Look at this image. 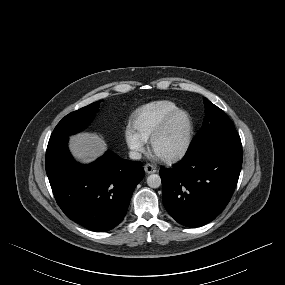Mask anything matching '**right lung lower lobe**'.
Here are the masks:
<instances>
[{
    "label": "right lung lower lobe",
    "instance_id": "obj_1",
    "mask_svg": "<svg viewBox=\"0 0 285 285\" xmlns=\"http://www.w3.org/2000/svg\"><path fill=\"white\" fill-rule=\"evenodd\" d=\"M68 136L50 138L46 173L57 204L83 227L105 232L124 218L132 193L144 177L141 162L120 158L111 151L89 165L69 153Z\"/></svg>",
    "mask_w": 285,
    "mask_h": 285
}]
</instances>
